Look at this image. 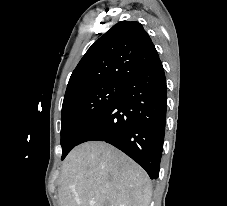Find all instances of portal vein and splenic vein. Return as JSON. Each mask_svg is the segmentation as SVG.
<instances>
[{"instance_id": "obj_1", "label": "portal vein and splenic vein", "mask_w": 227, "mask_h": 206, "mask_svg": "<svg viewBox=\"0 0 227 206\" xmlns=\"http://www.w3.org/2000/svg\"><path fill=\"white\" fill-rule=\"evenodd\" d=\"M90 204H91V206H93L94 202H91Z\"/></svg>"}]
</instances>
